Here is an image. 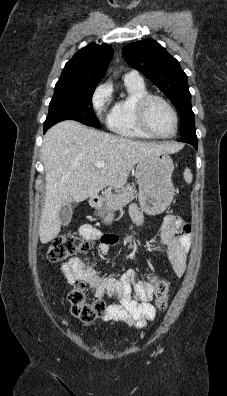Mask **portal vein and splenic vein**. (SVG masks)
Segmentation results:
<instances>
[{
  "mask_svg": "<svg viewBox=\"0 0 227 396\" xmlns=\"http://www.w3.org/2000/svg\"><path fill=\"white\" fill-rule=\"evenodd\" d=\"M94 166L96 168H102L105 166V163L103 161H97V162H95Z\"/></svg>",
  "mask_w": 227,
  "mask_h": 396,
  "instance_id": "18ae733b",
  "label": "portal vein and splenic vein"
}]
</instances>
